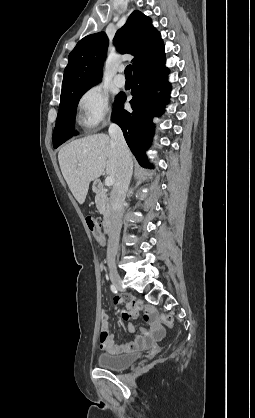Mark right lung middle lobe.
Wrapping results in <instances>:
<instances>
[{
    "mask_svg": "<svg viewBox=\"0 0 255 418\" xmlns=\"http://www.w3.org/2000/svg\"><path fill=\"white\" fill-rule=\"evenodd\" d=\"M90 87L76 89L61 94L56 126L52 136L54 148H57L69 138L78 134L77 131L74 130L76 108L79 99Z\"/></svg>",
    "mask_w": 255,
    "mask_h": 418,
    "instance_id": "right-lung-middle-lobe-1",
    "label": "right lung middle lobe"
}]
</instances>
